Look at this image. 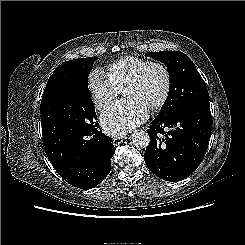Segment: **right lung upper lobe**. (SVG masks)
I'll list each match as a JSON object with an SVG mask.
<instances>
[{
    "label": "right lung upper lobe",
    "instance_id": "1",
    "mask_svg": "<svg viewBox=\"0 0 245 245\" xmlns=\"http://www.w3.org/2000/svg\"><path fill=\"white\" fill-rule=\"evenodd\" d=\"M55 79H56V73L53 72V74L50 76V78L47 82L46 88L44 90L40 109L44 110L47 106H49L52 103L53 99H52V93L50 90V86L55 81Z\"/></svg>",
    "mask_w": 245,
    "mask_h": 245
}]
</instances>
